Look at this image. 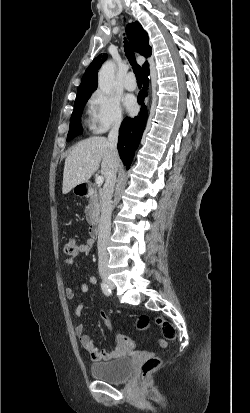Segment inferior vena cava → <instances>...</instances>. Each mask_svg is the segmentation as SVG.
<instances>
[{"label":"inferior vena cava","instance_id":"inferior-vena-cava-1","mask_svg":"<svg viewBox=\"0 0 250 413\" xmlns=\"http://www.w3.org/2000/svg\"><path fill=\"white\" fill-rule=\"evenodd\" d=\"M121 120H117L108 135V144L111 150L112 159L115 161L119 158L117 151V142L119 135V127ZM117 164L114 163L113 168L111 169L106 183L103 187L102 193V206H101V217L99 222V234H98V257H99V268H107L108 266V254H107V245L111 233V215H112V206L111 198L114 192V186L116 183V174H117Z\"/></svg>","mask_w":250,"mask_h":413}]
</instances>
